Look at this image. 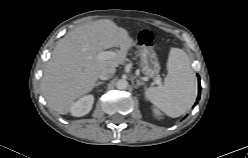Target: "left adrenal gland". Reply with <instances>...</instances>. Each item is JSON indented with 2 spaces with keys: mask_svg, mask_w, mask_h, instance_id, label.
I'll return each mask as SVG.
<instances>
[{
  "mask_svg": "<svg viewBox=\"0 0 248 158\" xmlns=\"http://www.w3.org/2000/svg\"><path fill=\"white\" fill-rule=\"evenodd\" d=\"M137 87L144 86L145 83L140 81L139 79H136Z\"/></svg>",
  "mask_w": 248,
  "mask_h": 158,
  "instance_id": "obj_1",
  "label": "left adrenal gland"
}]
</instances>
